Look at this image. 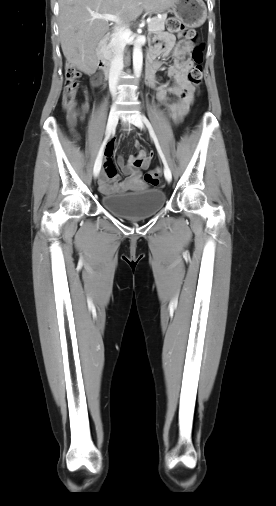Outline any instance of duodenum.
<instances>
[{
  "instance_id": "1",
  "label": "duodenum",
  "mask_w": 276,
  "mask_h": 506,
  "mask_svg": "<svg viewBox=\"0 0 276 506\" xmlns=\"http://www.w3.org/2000/svg\"><path fill=\"white\" fill-rule=\"evenodd\" d=\"M110 35H106L101 42L99 43L98 47V60H97V66L98 69L104 74L109 75L111 71V62L109 58L106 55V45L109 40ZM147 69H146V77H149V67L148 63L150 62V58L147 57Z\"/></svg>"
}]
</instances>
